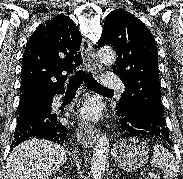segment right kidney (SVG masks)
<instances>
[{
    "mask_svg": "<svg viewBox=\"0 0 183 179\" xmlns=\"http://www.w3.org/2000/svg\"><path fill=\"white\" fill-rule=\"evenodd\" d=\"M53 179H63V177L57 176V177H55Z\"/></svg>",
    "mask_w": 183,
    "mask_h": 179,
    "instance_id": "1",
    "label": "right kidney"
}]
</instances>
